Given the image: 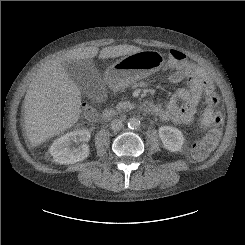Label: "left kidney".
<instances>
[{"label":"left kidney","instance_id":"5707ae66","mask_svg":"<svg viewBox=\"0 0 245 245\" xmlns=\"http://www.w3.org/2000/svg\"><path fill=\"white\" fill-rule=\"evenodd\" d=\"M159 137L168 151H180L184 145V137L182 132L172 126H161L158 130Z\"/></svg>","mask_w":245,"mask_h":245}]
</instances>
